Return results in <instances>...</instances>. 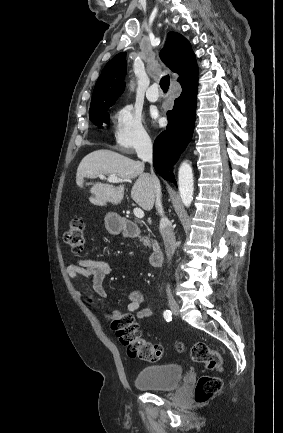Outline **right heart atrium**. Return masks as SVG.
<instances>
[{
  "instance_id": "1",
  "label": "right heart atrium",
  "mask_w": 283,
  "mask_h": 433,
  "mask_svg": "<svg viewBox=\"0 0 283 433\" xmlns=\"http://www.w3.org/2000/svg\"><path fill=\"white\" fill-rule=\"evenodd\" d=\"M152 145L140 109L121 105L112 116V148L124 155H133Z\"/></svg>"
}]
</instances>
